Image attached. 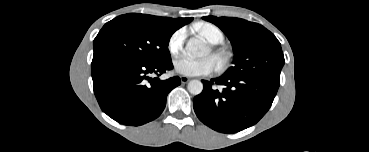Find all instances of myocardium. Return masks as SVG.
Segmentation results:
<instances>
[{
  "mask_svg": "<svg viewBox=\"0 0 369 152\" xmlns=\"http://www.w3.org/2000/svg\"><path fill=\"white\" fill-rule=\"evenodd\" d=\"M219 69H224L228 64V54L223 50H217L214 53Z\"/></svg>",
  "mask_w": 369,
  "mask_h": 152,
  "instance_id": "f54148a6",
  "label": "myocardium"
}]
</instances>
